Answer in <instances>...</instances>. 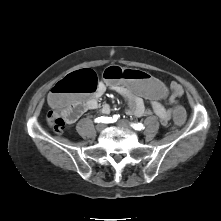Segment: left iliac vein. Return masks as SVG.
Returning a JSON list of instances; mask_svg holds the SVG:
<instances>
[{"mask_svg": "<svg viewBox=\"0 0 221 221\" xmlns=\"http://www.w3.org/2000/svg\"><path fill=\"white\" fill-rule=\"evenodd\" d=\"M117 126L122 128V129H126V130H132V126L129 124L128 121L126 120H119L117 122Z\"/></svg>", "mask_w": 221, "mask_h": 221, "instance_id": "4c4485c4", "label": "left iliac vein"}]
</instances>
